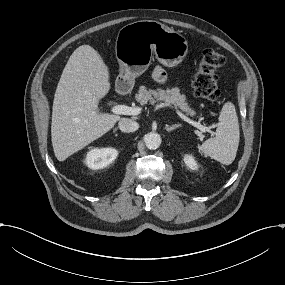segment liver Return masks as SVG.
<instances>
[{"label":"liver","instance_id":"1","mask_svg":"<svg viewBox=\"0 0 285 285\" xmlns=\"http://www.w3.org/2000/svg\"><path fill=\"white\" fill-rule=\"evenodd\" d=\"M111 73L102 55L89 44L70 56L59 81L53 104L52 147L59 162L83 150L108 133L121 119L101 115L100 101L112 88Z\"/></svg>","mask_w":285,"mask_h":285}]
</instances>
